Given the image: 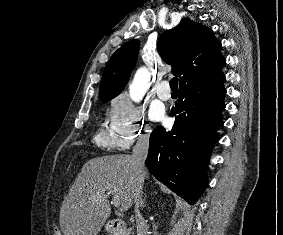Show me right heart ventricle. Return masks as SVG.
<instances>
[{
    "label": "right heart ventricle",
    "mask_w": 283,
    "mask_h": 235,
    "mask_svg": "<svg viewBox=\"0 0 283 235\" xmlns=\"http://www.w3.org/2000/svg\"><path fill=\"white\" fill-rule=\"evenodd\" d=\"M96 142L98 145L103 147H111L114 146L113 138L110 131H106L104 129H100L96 136Z\"/></svg>",
    "instance_id": "obj_1"
}]
</instances>
